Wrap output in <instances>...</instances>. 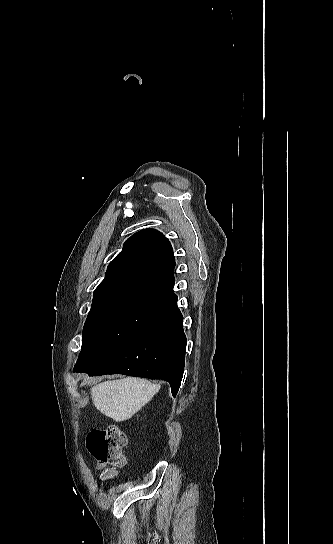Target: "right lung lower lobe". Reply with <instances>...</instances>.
<instances>
[{
	"mask_svg": "<svg viewBox=\"0 0 333 544\" xmlns=\"http://www.w3.org/2000/svg\"><path fill=\"white\" fill-rule=\"evenodd\" d=\"M186 336L177 301L171 303L148 327L114 349L108 356L74 372L90 376L124 374L168 381L175 397L184 373Z\"/></svg>",
	"mask_w": 333,
	"mask_h": 544,
	"instance_id": "98d812e1",
	"label": "right lung lower lobe"
}]
</instances>
